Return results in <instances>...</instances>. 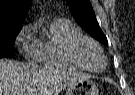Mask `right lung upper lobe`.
I'll return each mask as SVG.
<instances>
[{
  "label": "right lung upper lobe",
  "mask_w": 135,
  "mask_h": 95,
  "mask_svg": "<svg viewBox=\"0 0 135 95\" xmlns=\"http://www.w3.org/2000/svg\"><path fill=\"white\" fill-rule=\"evenodd\" d=\"M31 0H0V35L20 31Z\"/></svg>",
  "instance_id": "obj_1"
}]
</instances>
